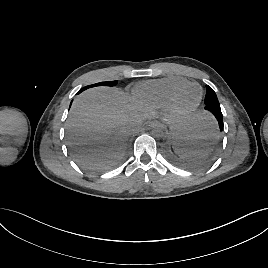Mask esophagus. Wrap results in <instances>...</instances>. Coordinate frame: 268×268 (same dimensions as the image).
<instances>
[{"instance_id":"1","label":"esophagus","mask_w":268,"mask_h":268,"mask_svg":"<svg viewBox=\"0 0 268 268\" xmlns=\"http://www.w3.org/2000/svg\"><path fill=\"white\" fill-rule=\"evenodd\" d=\"M161 126V123L158 120H152L149 122V127L154 128V127H159Z\"/></svg>"}]
</instances>
